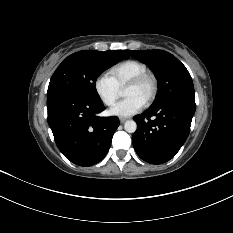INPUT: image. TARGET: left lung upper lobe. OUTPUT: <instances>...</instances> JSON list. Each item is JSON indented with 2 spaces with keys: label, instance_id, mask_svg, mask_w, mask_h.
Here are the masks:
<instances>
[{
  "label": "left lung upper lobe",
  "instance_id": "obj_1",
  "mask_svg": "<svg viewBox=\"0 0 233 233\" xmlns=\"http://www.w3.org/2000/svg\"><path fill=\"white\" fill-rule=\"evenodd\" d=\"M129 55L147 64L159 81V93L152 106L176 100L195 103L192 78L186 67L162 50H128Z\"/></svg>",
  "mask_w": 233,
  "mask_h": 233
}]
</instances>
